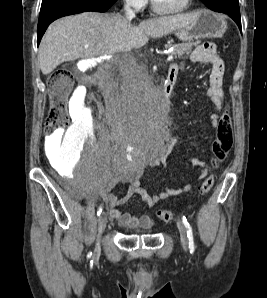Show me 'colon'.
Wrapping results in <instances>:
<instances>
[{
	"instance_id": "obj_1",
	"label": "colon",
	"mask_w": 267,
	"mask_h": 298,
	"mask_svg": "<svg viewBox=\"0 0 267 298\" xmlns=\"http://www.w3.org/2000/svg\"><path fill=\"white\" fill-rule=\"evenodd\" d=\"M51 105L46 117V131L53 135L58 130L65 128L69 124L67 114L68 98L73 86V77L69 69L61 68L54 71L48 80ZM233 145V131L230 116H221L216 129V137L213 142V165L217 166L223 162ZM214 184V177L208 176L201 184L199 192L201 195L207 194ZM159 218L164 222L174 219V213L170 210H159Z\"/></svg>"
}]
</instances>
